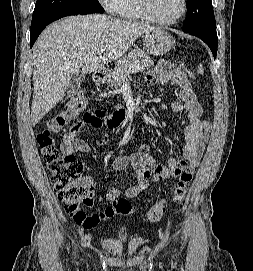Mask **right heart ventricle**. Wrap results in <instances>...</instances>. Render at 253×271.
<instances>
[{
    "label": "right heart ventricle",
    "mask_w": 253,
    "mask_h": 271,
    "mask_svg": "<svg viewBox=\"0 0 253 271\" xmlns=\"http://www.w3.org/2000/svg\"><path fill=\"white\" fill-rule=\"evenodd\" d=\"M119 15L130 20H142L137 0H123Z\"/></svg>",
    "instance_id": "right-heart-ventricle-1"
}]
</instances>
